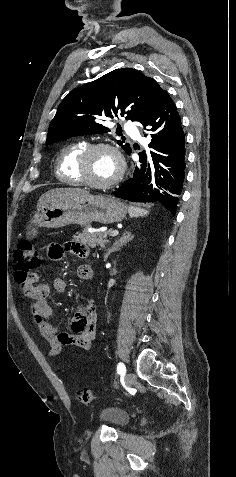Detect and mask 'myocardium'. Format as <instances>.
Returning a JSON list of instances; mask_svg holds the SVG:
<instances>
[{
    "mask_svg": "<svg viewBox=\"0 0 236 477\" xmlns=\"http://www.w3.org/2000/svg\"><path fill=\"white\" fill-rule=\"evenodd\" d=\"M106 149L111 151L118 162V172L113 179L107 182H94L87 176V164L90 156L97 150ZM76 172L85 185L96 189H108L116 185L123 177L125 172V160L119 149L112 144L105 142H98L87 145L77 159Z\"/></svg>",
    "mask_w": 236,
    "mask_h": 477,
    "instance_id": "myocardium-1",
    "label": "myocardium"
}]
</instances>
